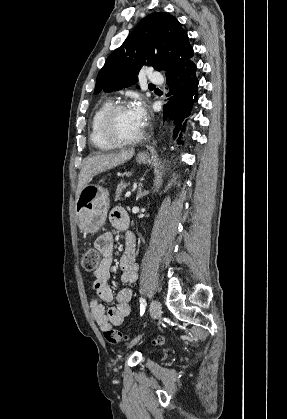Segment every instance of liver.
<instances>
[{
	"label": "liver",
	"mask_w": 287,
	"mask_h": 419,
	"mask_svg": "<svg viewBox=\"0 0 287 419\" xmlns=\"http://www.w3.org/2000/svg\"><path fill=\"white\" fill-rule=\"evenodd\" d=\"M134 152V149H131L123 150L118 153H102L88 157L84 161L80 171L76 197L79 196L81 190L90 178L130 160L133 157Z\"/></svg>",
	"instance_id": "obj_1"
}]
</instances>
